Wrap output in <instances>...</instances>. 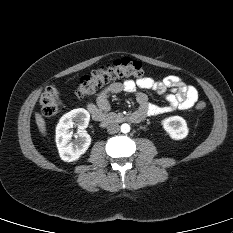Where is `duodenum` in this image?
Instances as JSON below:
<instances>
[{"mask_svg":"<svg viewBox=\"0 0 233 233\" xmlns=\"http://www.w3.org/2000/svg\"><path fill=\"white\" fill-rule=\"evenodd\" d=\"M143 120H144V115L139 111L131 113L129 115H125V116L103 114L99 117V121L103 126L109 125L114 122H119V121L140 123Z\"/></svg>","mask_w":233,"mask_h":233,"instance_id":"duodenum-1","label":"duodenum"}]
</instances>
